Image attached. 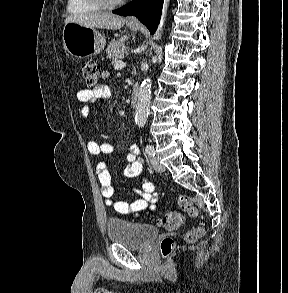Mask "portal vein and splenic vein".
Instances as JSON below:
<instances>
[{
	"instance_id": "obj_1",
	"label": "portal vein and splenic vein",
	"mask_w": 288,
	"mask_h": 293,
	"mask_svg": "<svg viewBox=\"0 0 288 293\" xmlns=\"http://www.w3.org/2000/svg\"><path fill=\"white\" fill-rule=\"evenodd\" d=\"M124 66H125V63L122 62V61H115V63H114V68L115 69H120V68H122Z\"/></svg>"
}]
</instances>
